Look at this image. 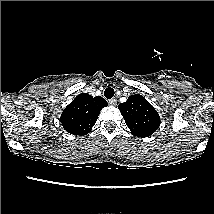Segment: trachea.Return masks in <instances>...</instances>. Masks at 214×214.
<instances>
[{"mask_svg":"<svg viewBox=\"0 0 214 214\" xmlns=\"http://www.w3.org/2000/svg\"><path fill=\"white\" fill-rule=\"evenodd\" d=\"M104 95L107 99H111L114 96V89L111 87H108L104 91Z\"/></svg>","mask_w":214,"mask_h":214,"instance_id":"1","label":"trachea"}]
</instances>
